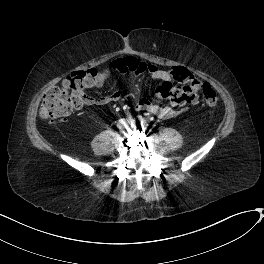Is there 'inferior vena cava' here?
Returning a JSON list of instances; mask_svg holds the SVG:
<instances>
[{
    "mask_svg": "<svg viewBox=\"0 0 264 264\" xmlns=\"http://www.w3.org/2000/svg\"><path fill=\"white\" fill-rule=\"evenodd\" d=\"M129 124V121L127 119H120L117 123V126L122 129L125 128Z\"/></svg>",
    "mask_w": 264,
    "mask_h": 264,
    "instance_id": "602c4592",
    "label": "inferior vena cava"
}]
</instances>
